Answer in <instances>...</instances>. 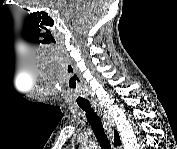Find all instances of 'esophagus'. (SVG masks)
I'll list each match as a JSON object with an SVG mask.
<instances>
[{"label": "esophagus", "mask_w": 177, "mask_h": 149, "mask_svg": "<svg viewBox=\"0 0 177 149\" xmlns=\"http://www.w3.org/2000/svg\"><path fill=\"white\" fill-rule=\"evenodd\" d=\"M92 106L98 112L100 116H102V122L104 125L105 132L110 140H113V127L114 122L107 117V114L104 113L101 105L97 102H92Z\"/></svg>", "instance_id": "obj_1"}]
</instances>
